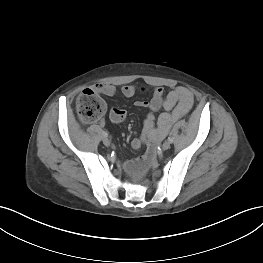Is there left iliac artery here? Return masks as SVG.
Wrapping results in <instances>:
<instances>
[{
    "label": "left iliac artery",
    "instance_id": "obj_1",
    "mask_svg": "<svg viewBox=\"0 0 263 263\" xmlns=\"http://www.w3.org/2000/svg\"><path fill=\"white\" fill-rule=\"evenodd\" d=\"M173 140H174L173 137H171V136L168 137V141H169L170 143H173Z\"/></svg>",
    "mask_w": 263,
    "mask_h": 263
}]
</instances>
